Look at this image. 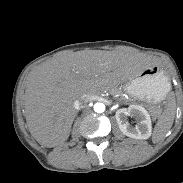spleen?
<instances>
[{"instance_id":"obj_1","label":"spleen","mask_w":183,"mask_h":183,"mask_svg":"<svg viewBox=\"0 0 183 183\" xmlns=\"http://www.w3.org/2000/svg\"><path fill=\"white\" fill-rule=\"evenodd\" d=\"M139 84L140 81L135 80L133 83V87H137ZM168 89L170 91L171 89L170 84H168ZM175 110H176L175 100L173 97H169L166 103V108L163 111L162 115L160 116L154 128L152 136L153 143H158L160 140H162L168 133V131L171 129L175 118Z\"/></svg>"}]
</instances>
